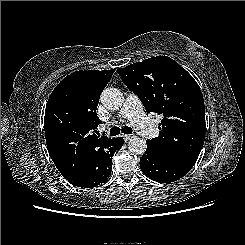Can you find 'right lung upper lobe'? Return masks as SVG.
Returning a JSON list of instances; mask_svg holds the SVG:
<instances>
[{
    "instance_id": "cb5924a9",
    "label": "right lung upper lobe",
    "mask_w": 245,
    "mask_h": 245,
    "mask_svg": "<svg viewBox=\"0 0 245 245\" xmlns=\"http://www.w3.org/2000/svg\"><path fill=\"white\" fill-rule=\"evenodd\" d=\"M114 70L76 71L65 77L51 93L45 110L47 148L54 164L82 170L88 154L111 139L97 136L101 123L96 109L99 97Z\"/></svg>"
}]
</instances>
